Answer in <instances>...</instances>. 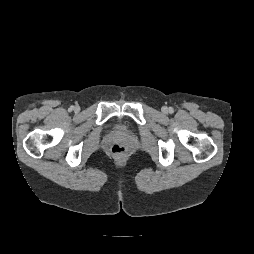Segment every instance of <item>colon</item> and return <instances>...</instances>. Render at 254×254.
<instances>
[{
  "label": "colon",
  "instance_id": "colon-1",
  "mask_svg": "<svg viewBox=\"0 0 254 254\" xmlns=\"http://www.w3.org/2000/svg\"><path fill=\"white\" fill-rule=\"evenodd\" d=\"M110 151L114 156H117V157H121L126 154V148L120 144L112 145Z\"/></svg>",
  "mask_w": 254,
  "mask_h": 254
}]
</instances>
